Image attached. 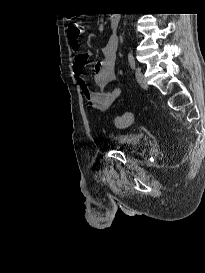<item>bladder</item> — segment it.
<instances>
[{
    "instance_id": "obj_1",
    "label": "bladder",
    "mask_w": 205,
    "mask_h": 273,
    "mask_svg": "<svg viewBox=\"0 0 205 273\" xmlns=\"http://www.w3.org/2000/svg\"><path fill=\"white\" fill-rule=\"evenodd\" d=\"M113 142L118 144L121 147L135 150L141 146L142 140L139 136L132 134H118L114 136Z\"/></svg>"
}]
</instances>
